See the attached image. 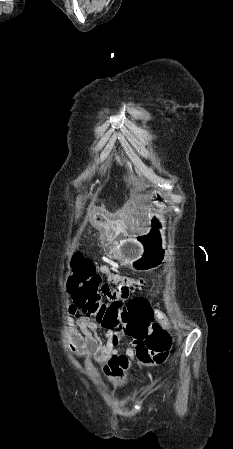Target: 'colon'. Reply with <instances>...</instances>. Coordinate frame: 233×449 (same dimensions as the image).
<instances>
[{
    "mask_svg": "<svg viewBox=\"0 0 233 449\" xmlns=\"http://www.w3.org/2000/svg\"><path fill=\"white\" fill-rule=\"evenodd\" d=\"M70 268L68 291L73 306L91 316L94 328H119L120 334L132 336L136 349L168 354L171 338L155 323L154 311L147 310V301H119L120 296H116V301L107 306L101 300L103 278L94 263L76 251Z\"/></svg>",
    "mask_w": 233,
    "mask_h": 449,
    "instance_id": "5ec220e1",
    "label": "colon"
}]
</instances>
